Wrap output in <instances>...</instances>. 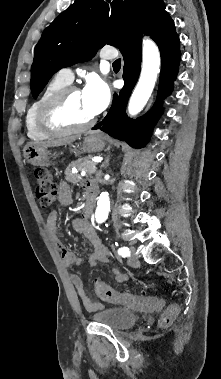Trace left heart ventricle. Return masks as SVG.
Masks as SVG:
<instances>
[{
    "label": "left heart ventricle",
    "mask_w": 221,
    "mask_h": 379,
    "mask_svg": "<svg viewBox=\"0 0 221 379\" xmlns=\"http://www.w3.org/2000/svg\"><path fill=\"white\" fill-rule=\"evenodd\" d=\"M93 116L85 105L81 92H73L64 108L65 120L70 124H81L90 120Z\"/></svg>",
    "instance_id": "1"
}]
</instances>
